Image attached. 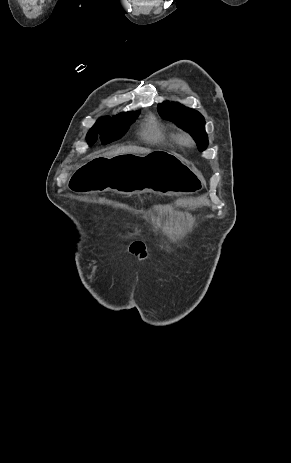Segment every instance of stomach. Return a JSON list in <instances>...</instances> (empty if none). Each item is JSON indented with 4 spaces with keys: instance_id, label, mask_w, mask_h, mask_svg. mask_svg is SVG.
Returning <instances> with one entry per match:
<instances>
[{
    "instance_id": "1",
    "label": "stomach",
    "mask_w": 291,
    "mask_h": 463,
    "mask_svg": "<svg viewBox=\"0 0 291 463\" xmlns=\"http://www.w3.org/2000/svg\"><path fill=\"white\" fill-rule=\"evenodd\" d=\"M119 156L93 157L74 173L68 188L79 193L111 190L129 196L144 192L172 196L196 193L204 186L201 173L175 153L124 151Z\"/></svg>"
}]
</instances>
